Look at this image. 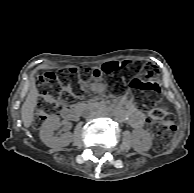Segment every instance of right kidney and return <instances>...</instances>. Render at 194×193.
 <instances>
[{
	"instance_id": "1",
	"label": "right kidney",
	"mask_w": 194,
	"mask_h": 193,
	"mask_svg": "<svg viewBox=\"0 0 194 193\" xmlns=\"http://www.w3.org/2000/svg\"><path fill=\"white\" fill-rule=\"evenodd\" d=\"M60 118L57 115L49 116L40 130V139L50 148H61L70 144L71 134L66 132L59 137L54 136L53 131L60 127Z\"/></svg>"
}]
</instances>
